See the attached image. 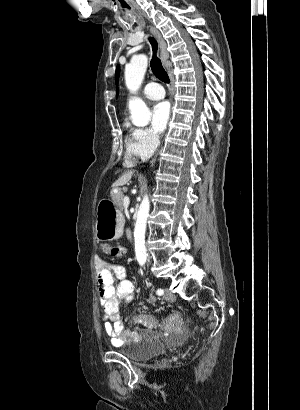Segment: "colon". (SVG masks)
Here are the masks:
<instances>
[{"instance_id": "5ec220e1", "label": "colon", "mask_w": 300, "mask_h": 410, "mask_svg": "<svg viewBox=\"0 0 300 410\" xmlns=\"http://www.w3.org/2000/svg\"><path fill=\"white\" fill-rule=\"evenodd\" d=\"M126 249L124 246L116 245V246H111L107 249L106 255L111 258V259H117L121 257L125 253ZM138 319L140 321H143L145 324L151 326L153 324L152 319L144 314L141 313L138 316ZM183 316L178 315L177 312H170L167 314V323L169 325H174V326H179L180 324L183 323Z\"/></svg>"}]
</instances>
